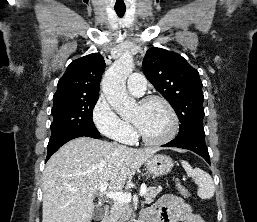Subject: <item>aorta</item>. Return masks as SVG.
Masks as SVG:
<instances>
[{
	"mask_svg": "<svg viewBox=\"0 0 257 222\" xmlns=\"http://www.w3.org/2000/svg\"><path fill=\"white\" fill-rule=\"evenodd\" d=\"M133 68L132 56L125 53L105 72L101 82L108 103L121 116L132 112L136 106L135 99L126 90V79Z\"/></svg>",
	"mask_w": 257,
	"mask_h": 222,
	"instance_id": "762f6f07",
	"label": "aorta"
}]
</instances>
